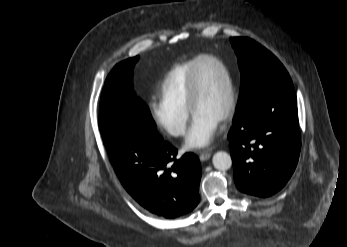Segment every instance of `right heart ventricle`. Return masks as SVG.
<instances>
[{"mask_svg": "<svg viewBox=\"0 0 347 247\" xmlns=\"http://www.w3.org/2000/svg\"><path fill=\"white\" fill-rule=\"evenodd\" d=\"M198 59L199 57L177 64L169 70L160 87V95L164 101L188 109L187 95L190 72Z\"/></svg>", "mask_w": 347, "mask_h": 247, "instance_id": "right-heart-ventricle-1", "label": "right heart ventricle"}]
</instances>
